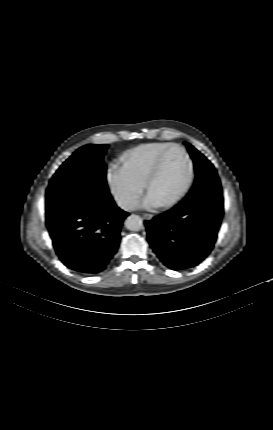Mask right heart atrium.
<instances>
[{"label":"right heart atrium","mask_w":273,"mask_h":430,"mask_svg":"<svg viewBox=\"0 0 273 430\" xmlns=\"http://www.w3.org/2000/svg\"><path fill=\"white\" fill-rule=\"evenodd\" d=\"M106 179L115 201L123 209H131L144 189V183L119 162L109 164Z\"/></svg>","instance_id":"1"}]
</instances>
